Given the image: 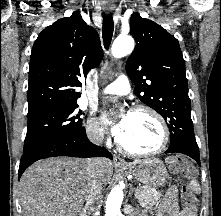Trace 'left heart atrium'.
I'll return each mask as SVG.
<instances>
[{
    "label": "left heart atrium",
    "instance_id": "obj_1",
    "mask_svg": "<svg viewBox=\"0 0 221 216\" xmlns=\"http://www.w3.org/2000/svg\"><path fill=\"white\" fill-rule=\"evenodd\" d=\"M130 113L121 112L116 117L109 119L103 114V122L109 127L112 135L120 139L125 131Z\"/></svg>",
    "mask_w": 221,
    "mask_h": 216
}]
</instances>
